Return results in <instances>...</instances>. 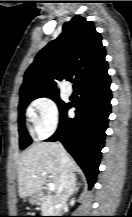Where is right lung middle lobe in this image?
Masks as SVG:
<instances>
[{"label":"right lung middle lobe","mask_w":132,"mask_h":217,"mask_svg":"<svg viewBox=\"0 0 132 217\" xmlns=\"http://www.w3.org/2000/svg\"><path fill=\"white\" fill-rule=\"evenodd\" d=\"M39 97H48V98H51L52 100H54L57 103L60 112L63 111L65 109V107L67 106V104H65L63 101H61L58 94L43 95V96H31V97L21 98L20 103H19V107H18V109H19L18 123H19V135H20L19 144H20L21 149L26 148L27 146H29L32 143V139L28 135V133L25 129V124H24L25 109H26L27 105L32 100L39 98Z\"/></svg>","instance_id":"obj_1"}]
</instances>
